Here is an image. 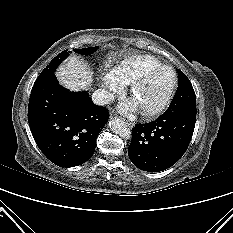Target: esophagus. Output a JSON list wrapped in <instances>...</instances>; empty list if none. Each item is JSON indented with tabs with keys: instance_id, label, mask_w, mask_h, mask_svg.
I'll return each instance as SVG.
<instances>
[{
	"instance_id": "34e87169",
	"label": "esophagus",
	"mask_w": 233,
	"mask_h": 233,
	"mask_svg": "<svg viewBox=\"0 0 233 233\" xmlns=\"http://www.w3.org/2000/svg\"><path fill=\"white\" fill-rule=\"evenodd\" d=\"M124 121H125V119H124ZM125 123H126V125L129 126V127H132V126H133V123H131V122L127 121V120L125 121Z\"/></svg>"
}]
</instances>
